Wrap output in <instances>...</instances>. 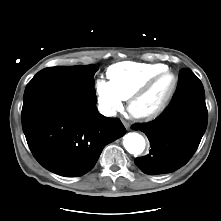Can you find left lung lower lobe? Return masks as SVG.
<instances>
[{
    "label": "left lung lower lobe",
    "mask_w": 221,
    "mask_h": 221,
    "mask_svg": "<svg viewBox=\"0 0 221 221\" xmlns=\"http://www.w3.org/2000/svg\"><path fill=\"white\" fill-rule=\"evenodd\" d=\"M207 120L203 85L191 70L182 69L167 109L152 122L132 126L144 132L151 144L149 154L136 158L135 164L150 175L179 169L197 150Z\"/></svg>",
    "instance_id": "0a47b994"
}]
</instances>
